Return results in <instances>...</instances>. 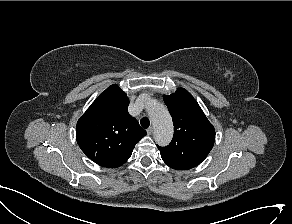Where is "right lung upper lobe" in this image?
<instances>
[{
	"label": "right lung upper lobe",
	"instance_id": "obj_1",
	"mask_svg": "<svg viewBox=\"0 0 292 224\" xmlns=\"http://www.w3.org/2000/svg\"><path fill=\"white\" fill-rule=\"evenodd\" d=\"M129 99L118 85L102 92L76 126V139L81 150L93 162L116 168L131 156L147 133L127 109Z\"/></svg>",
	"mask_w": 292,
	"mask_h": 224
}]
</instances>
